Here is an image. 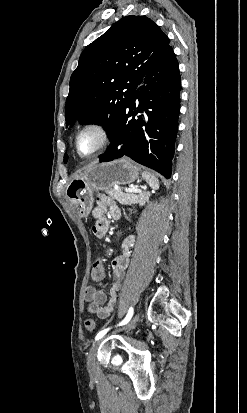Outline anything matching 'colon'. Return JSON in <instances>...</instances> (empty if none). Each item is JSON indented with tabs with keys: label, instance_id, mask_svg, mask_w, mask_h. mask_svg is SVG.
I'll return each mask as SVG.
<instances>
[{
	"label": "colon",
	"instance_id": "1",
	"mask_svg": "<svg viewBox=\"0 0 247 413\" xmlns=\"http://www.w3.org/2000/svg\"><path fill=\"white\" fill-rule=\"evenodd\" d=\"M101 274L107 275L108 269L107 268L101 269V262L99 260H94L92 262V268L88 270V277L90 279H95V278L101 277ZM84 327L86 331L93 332L95 330V320L89 317L85 318Z\"/></svg>",
	"mask_w": 247,
	"mask_h": 413
}]
</instances>
